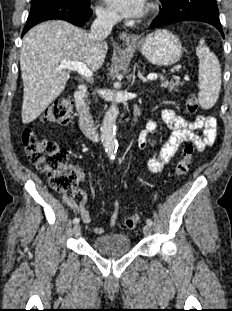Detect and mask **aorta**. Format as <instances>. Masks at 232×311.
I'll return each mask as SVG.
<instances>
[{
	"label": "aorta",
	"mask_w": 232,
	"mask_h": 311,
	"mask_svg": "<svg viewBox=\"0 0 232 311\" xmlns=\"http://www.w3.org/2000/svg\"><path fill=\"white\" fill-rule=\"evenodd\" d=\"M119 115V109L115 102H112L110 108L105 114L101 126V139L106 153L110 158H115L118 141L116 139V119Z\"/></svg>",
	"instance_id": "1"
}]
</instances>
